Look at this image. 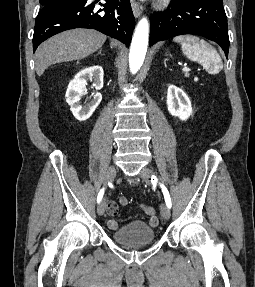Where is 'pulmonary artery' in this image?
I'll return each instance as SVG.
<instances>
[{
	"instance_id": "pulmonary-artery-1",
	"label": "pulmonary artery",
	"mask_w": 255,
	"mask_h": 287,
	"mask_svg": "<svg viewBox=\"0 0 255 287\" xmlns=\"http://www.w3.org/2000/svg\"><path fill=\"white\" fill-rule=\"evenodd\" d=\"M116 33H124V32H116Z\"/></svg>"
}]
</instances>
